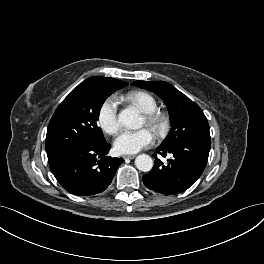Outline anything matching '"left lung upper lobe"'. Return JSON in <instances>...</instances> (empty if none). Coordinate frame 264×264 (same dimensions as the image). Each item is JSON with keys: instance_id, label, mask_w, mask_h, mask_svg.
<instances>
[{"instance_id": "obj_1", "label": "left lung upper lobe", "mask_w": 264, "mask_h": 264, "mask_svg": "<svg viewBox=\"0 0 264 264\" xmlns=\"http://www.w3.org/2000/svg\"><path fill=\"white\" fill-rule=\"evenodd\" d=\"M131 85L154 92L166 104L172 127L161 145L188 139H210L209 124L201 108L174 86L164 81H135Z\"/></svg>"}]
</instances>
